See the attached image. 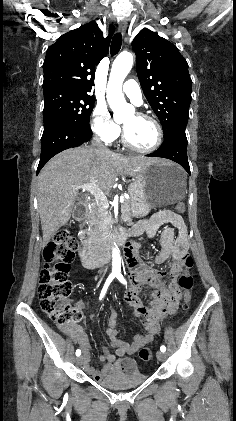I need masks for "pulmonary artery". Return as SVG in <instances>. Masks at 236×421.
Returning <instances> with one entry per match:
<instances>
[{
  "label": "pulmonary artery",
  "instance_id": "e3ab8cb5",
  "mask_svg": "<svg viewBox=\"0 0 236 421\" xmlns=\"http://www.w3.org/2000/svg\"><path fill=\"white\" fill-rule=\"evenodd\" d=\"M123 91L125 94L136 104L141 105L142 100V93L140 87L136 83L125 82L122 85Z\"/></svg>",
  "mask_w": 236,
  "mask_h": 421
}]
</instances>
